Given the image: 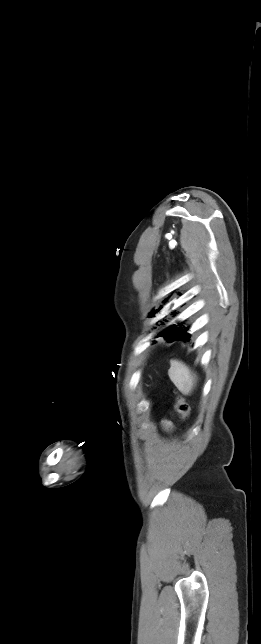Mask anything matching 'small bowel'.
<instances>
[{"label":"small bowel","instance_id":"obj_1","mask_svg":"<svg viewBox=\"0 0 261 644\" xmlns=\"http://www.w3.org/2000/svg\"><path fill=\"white\" fill-rule=\"evenodd\" d=\"M162 427H163V428H164V430H166V431H171V430L173 429V425H172V423H171L170 421H168V420H164V421H162Z\"/></svg>","mask_w":261,"mask_h":644}]
</instances>
